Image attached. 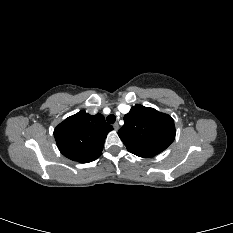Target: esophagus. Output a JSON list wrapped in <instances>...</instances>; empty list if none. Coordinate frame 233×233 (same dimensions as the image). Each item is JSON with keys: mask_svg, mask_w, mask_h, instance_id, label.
I'll return each instance as SVG.
<instances>
[{"mask_svg": "<svg viewBox=\"0 0 233 233\" xmlns=\"http://www.w3.org/2000/svg\"><path fill=\"white\" fill-rule=\"evenodd\" d=\"M113 128L117 131L119 129V124L116 122L113 124Z\"/></svg>", "mask_w": 233, "mask_h": 233, "instance_id": "obj_1", "label": "esophagus"}]
</instances>
